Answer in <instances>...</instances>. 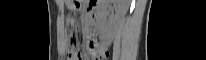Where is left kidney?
I'll use <instances>...</instances> for the list:
<instances>
[{"mask_svg": "<svg viewBox=\"0 0 206 60\" xmlns=\"http://www.w3.org/2000/svg\"><path fill=\"white\" fill-rule=\"evenodd\" d=\"M110 0H99L97 8V18H98V28L101 39L109 44L112 41L114 29L118 24L120 18L127 11V2L125 0H116L118 3L116 12L113 16L107 19L108 16V6Z\"/></svg>", "mask_w": 206, "mask_h": 60, "instance_id": "1", "label": "left kidney"}]
</instances>
